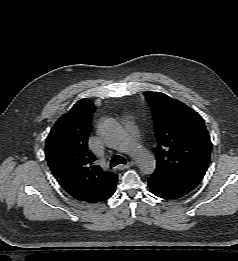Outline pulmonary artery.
<instances>
[{
	"label": "pulmonary artery",
	"instance_id": "obj_1",
	"mask_svg": "<svg viewBox=\"0 0 238 261\" xmlns=\"http://www.w3.org/2000/svg\"><path fill=\"white\" fill-rule=\"evenodd\" d=\"M127 129H128V131H129L130 135H131L134 139H138L139 133H138V130H137L136 126H135L133 123L128 122V123H127Z\"/></svg>",
	"mask_w": 238,
	"mask_h": 261
}]
</instances>
